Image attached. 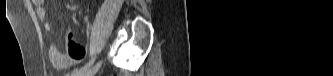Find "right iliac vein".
Returning a JSON list of instances; mask_svg holds the SVG:
<instances>
[{
	"mask_svg": "<svg viewBox=\"0 0 333 76\" xmlns=\"http://www.w3.org/2000/svg\"><path fill=\"white\" fill-rule=\"evenodd\" d=\"M101 63H98L92 70L87 71L84 73V76H91L92 74L96 73L100 67Z\"/></svg>",
	"mask_w": 333,
	"mask_h": 76,
	"instance_id": "right-iliac-vein-1",
	"label": "right iliac vein"
}]
</instances>
